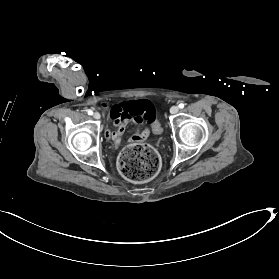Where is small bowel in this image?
<instances>
[{"instance_id": "c3829d8e", "label": "small bowel", "mask_w": 279, "mask_h": 279, "mask_svg": "<svg viewBox=\"0 0 279 279\" xmlns=\"http://www.w3.org/2000/svg\"><path fill=\"white\" fill-rule=\"evenodd\" d=\"M110 117L115 125V130H106V139L119 146L125 132L126 126L133 122L138 126L137 130L130 136L129 140L138 142L144 140L150 133V127L155 123V109L148 100H136L128 103L114 105L110 109ZM146 122L148 127L142 128Z\"/></svg>"}]
</instances>
